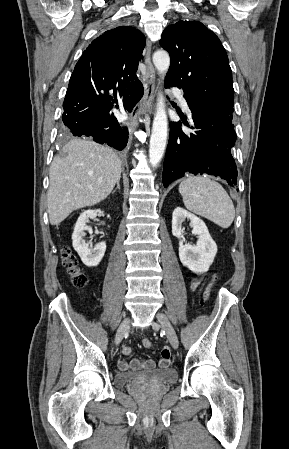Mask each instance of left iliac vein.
<instances>
[{"label": "left iliac vein", "instance_id": "obj_1", "mask_svg": "<svg viewBox=\"0 0 289 449\" xmlns=\"http://www.w3.org/2000/svg\"><path fill=\"white\" fill-rule=\"evenodd\" d=\"M156 317H157V320L159 321V323L161 324L162 328L165 330L170 344L172 345V347L174 349H177L178 348V338H177L176 332H175L173 326L171 325L169 319L167 318V316L164 313H161V312H158ZM152 327H153V329H157L158 325L155 322H153Z\"/></svg>", "mask_w": 289, "mask_h": 449}]
</instances>
